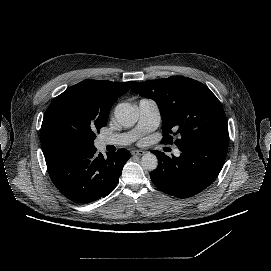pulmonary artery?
Segmentation results:
<instances>
[{"label": "pulmonary artery", "mask_w": 271, "mask_h": 271, "mask_svg": "<svg viewBox=\"0 0 271 271\" xmlns=\"http://www.w3.org/2000/svg\"><path fill=\"white\" fill-rule=\"evenodd\" d=\"M160 121V113L158 105L150 99H141L139 101V120L136 128L128 133L99 136L95 141L97 149H104L107 146H123L127 145L143 134L149 133L157 128ZM174 154L179 155V150L174 149Z\"/></svg>", "instance_id": "e3ab8cb5"}]
</instances>
